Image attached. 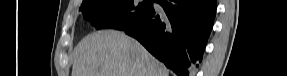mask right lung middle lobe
I'll list each match as a JSON object with an SVG mask.
<instances>
[{
	"instance_id": "obj_1",
	"label": "right lung middle lobe",
	"mask_w": 287,
	"mask_h": 76,
	"mask_svg": "<svg viewBox=\"0 0 287 76\" xmlns=\"http://www.w3.org/2000/svg\"><path fill=\"white\" fill-rule=\"evenodd\" d=\"M152 7V0H88L80 10L97 30H123L144 19Z\"/></svg>"
}]
</instances>
